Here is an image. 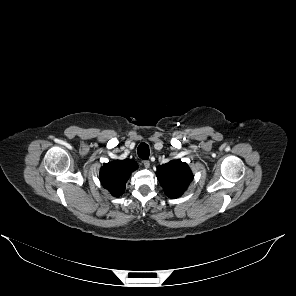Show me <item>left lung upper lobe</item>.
<instances>
[{
	"label": "left lung upper lobe",
	"mask_w": 296,
	"mask_h": 296,
	"mask_svg": "<svg viewBox=\"0 0 296 296\" xmlns=\"http://www.w3.org/2000/svg\"><path fill=\"white\" fill-rule=\"evenodd\" d=\"M156 175L169 198L181 196L193 179L189 166L178 160L158 166Z\"/></svg>",
	"instance_id": "1"
}]
</instances>
